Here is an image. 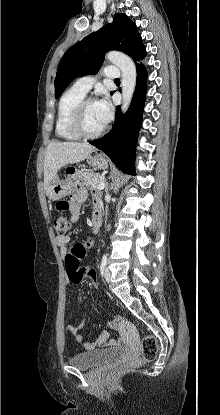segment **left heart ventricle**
I'll use <instances>...</instances> for the list:
<instances>
[{"mask_svg":"<svg viewBox=\"0 0 220 415\" xmlns=\"http://www.w3.org/2000/svg\"><path fill=\"white\" fill-rule=\"evenodd\" d=\"M83 126L88 133L97 132L104 126L97 113L95 102L86 106L83 114Z\"/></svg>","mask_w":220,"mask_h":415,"instance_id":"obj_1","label":"left heart ventricle"}]
</instances>
